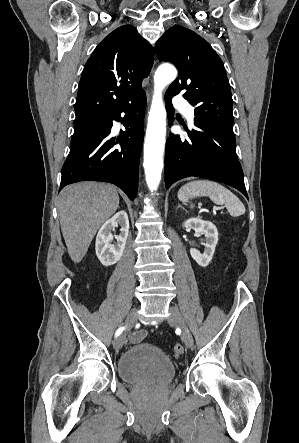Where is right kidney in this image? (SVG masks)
I'll list each match as a JSON object with an SVG mask.
<instances>
[{"label": "right kidney", "mask_w": 299, "mask_h": 443, "mask_svg": "<svg viewBox=\"0 0 299 443\" xmlns=\"http://www.w3.org/2000/svg\"><path fill=\"white\" fill-rule=\"evenodd\" d=\"M118 225L121 226V233L116 237L117 242L112 244L113 235L111 232ZM128 233L129 220L125 211L117 212L102 225L96 237L95 250L98 259L103 265L110 266L120 260L125 249Z\"/></svg>", "instance_id": "ca27d5eb"}]
</instances>
